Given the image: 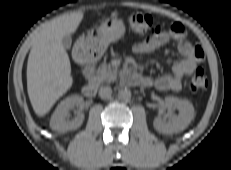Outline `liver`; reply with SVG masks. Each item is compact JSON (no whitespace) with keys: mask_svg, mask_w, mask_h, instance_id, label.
<instances>
[{"mask_svg":"<svg viewBox=\"0 0 231 170\" xmlns=\"http://www.w3.org/2000/svg\"><path fill=\"white\" fill-rule=\"evenodd\" d=\"M82 19L81 12L62 15L33 37L27 64V91L38 116L47 114L73 85L70 59L62 39L75 33Z\"/></svg>","mask_w":231,"mask_h":170,"instance_id":"obj_1","label":"liver"}]
</instances>
